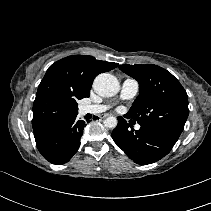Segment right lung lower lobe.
<instances>
[{
	"label": "right lung lower lobe",
	"instance_id": "98d812e1",
	"mask_svg": "<svg viewBox=\"0 0 211 211\" xmlns=\"http://www.w3.org/2000/svg\"><path fill=\"white\" fill-rule=\"evenodd\" d=\"M77 114L34 132L39 152L52 164L68 162L78 150L85 121L77 120Z\"/></svg>",
	"mask_w": 211,
	"mask_h": 211
}]
</instances>
